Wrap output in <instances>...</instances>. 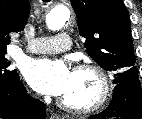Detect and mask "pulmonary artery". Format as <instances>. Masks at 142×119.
<instances>
[{"label":"pulmonary artery","instance_id":"1","mask_svg":"<svg viewBox=\"0 0 142 119\" xmlns=\"http://www.w3.org/2000/svg\"><path fill=\"white\" fill-rule=\"evenodd\" d=\"M71 47V38L68 34L55 37L37 38L29 42L26 50L32 53H59Z\"/></svg>","mask_w":142,"mask_h":119}]
</instances>
